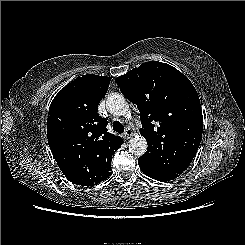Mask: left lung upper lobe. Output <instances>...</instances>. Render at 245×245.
Wrapping results in <instances>:
<instances>
[{"instance_id": "obj_1", "label": "left lung upper lobe", "mask_w": 245, "mask_h": 245, "mask_svg": "<svg viewBox=\"0 0 245 245\" xmlns=\"http://www.w3.org/2000/svg\"><path fill=\"white\" fill-rule=\"evenodd\" d=\"M116 82L140 112L148 149L138 160L181 174L196 155L203 130L199 96L190 80L171 65L150 61Z\"/></svg>"}]
</instances>
